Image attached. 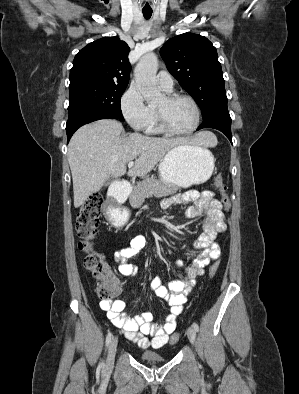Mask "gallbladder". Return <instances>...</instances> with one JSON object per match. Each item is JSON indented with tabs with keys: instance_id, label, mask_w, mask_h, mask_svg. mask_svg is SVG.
I'll use <instances>...</instances> for the list:
<instances>
[{
	"instance_id": "gallbladder-1",
	"label": "gallbladder",
	"mask_w": 299,
	"mask_h": 394,
	"mask_svg": "<svg viewBox=\"0 0 299 394\" xmlns=\"http://www.w3.org/2000/svg\"><path fill=\"white\" fill-rule=\"evenodd\" d=\"M114 182V179L112 177L108 178L107 181L105 182V186H109Z\"/></svg>"
}]
</instances>
